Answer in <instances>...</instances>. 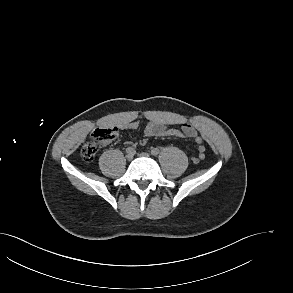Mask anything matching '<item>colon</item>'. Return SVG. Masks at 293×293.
<instances>
[{"instance_id": "1", "label": "colon", "mask_w": 293, "mask_h": 293, "mask_svg": "<svg viewBox=\"0 0 293 293\" xmlns=\"http://www.w3.org/2000/svg\"><path fill=\"white\" fill-rule=\"evenodd\" d=\"M117 137V129L115 127H100L96 128L90 140L82 147L81 157L86 162H92L99 149L114 141ZM204 151H201L198 157L193 158L194 163H198L200 160L204 159Z\"/></svg>"}]
</instances>
